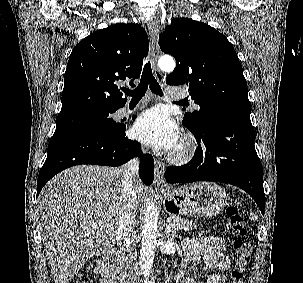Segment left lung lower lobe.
Segmentation results:
<instances>
[{
	"label": "left lung lower lobe",
	"mask_w": 303,
	"mask_h": 283,
	"mask_svg": "<svg viewBox=\"0 0 303 283\" xmlns=\"http://www.w3.org/2000/svg\"><path fill=\"white\" fill-rule=\"evenodd\" d=\"M189 130L199 144L196 153L186 165L169 166L165 171L166 181H214L235 185L245 190L264 214L263 172L254 147L251 121L216 119L200 131Z\"/></svg>",
	"instance_id": "obj_1"
}]
</instances>
